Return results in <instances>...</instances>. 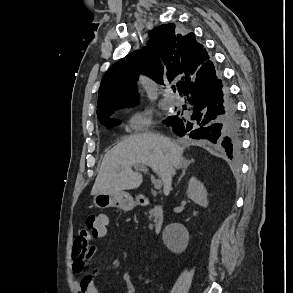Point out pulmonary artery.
Segmentation results:
<instances>
[{
    "instance_id": "pulmonary-artery-1",
    "label": "pulmonary artery",
    "mask_w": 293,
    "mask_h": 293,
    "mask_svg": "<svg viewBox=\"0 0 293 293\" xmlns=\"http://www.w3.org/2000/svg\"><path fill=\"white\" fill-rule=\"evenodd\" d=\"M167 94H168V101L170 104H178L179 103V99L177 96H175L170 89L166 90Z\"/></svg>"
}]
</instances>
